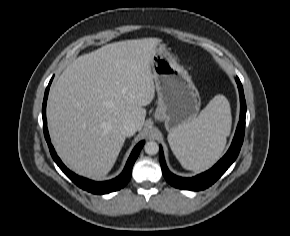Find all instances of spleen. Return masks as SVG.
Wrapping results in <instances>:
<instances>
[{"label": "spleen", "mask_w": 290, "mask_h": 236, "mask_svg": "<svg viewBox=\"0 0 290 236\" xmlns=\"http://www.w3.org/2000/svg\"><path fill=\"white\" fill-rule=\"evenodd\" d=\"M231 123L228 100L216 95L192 122L169 133L168 142L183 168L201 172L222 155Z\"/></svg>", "instance_id": "spleen-1"}]
</instances>
